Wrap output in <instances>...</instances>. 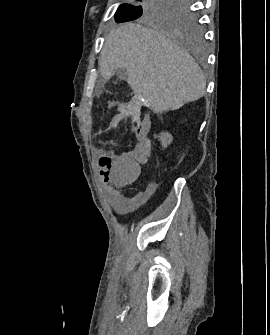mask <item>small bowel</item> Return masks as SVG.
<instances>
[{"label":"small bowel","instance_id":"c3829d8e","mask_svg":"<svg viewBox=\"0 0 270 335\" xmlns=\"http://www.w3.org/2000/svg\"><path fill=\"white\" fill-rule=\"evenodd\" d=\"M150 129L151 119L145 116L137 122L136 127H132V134H136L141 144H134L133 149H123V158H114V154L119 152L113 151V154H95V158L92 160L93 169H96L97 173H101L103 183L109 187L112 204L120 213L133 210L141 196L128 197L120 190L111 188L109 184L112 178H127L118 183V187H125L139 178L140 169H144V165H148V158L145 154H149L150 151V139L148 138Z\"/></svg>","mask_w":270,"mask_h":335}]
</instances>
